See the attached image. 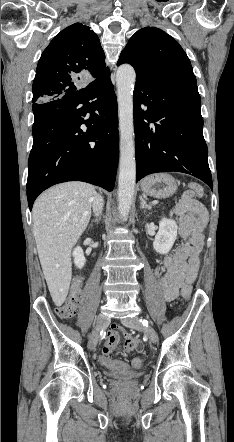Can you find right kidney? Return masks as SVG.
Wrapping results in <instances>:
<instances>
[{
	"label": "right kidney",
	"instance_id": "ca27d5eb",
	"mask_svg": "<svg viewBox=\"0 0 234 442\" xmlns=\"http://www.w3.org/2000/svg\"><path fill=\"white\" fill-rule=\"evenodd\" d=\"M74 263L75 266L81 269L86 262V258L84 257L83 250L80 246H77L73 251Z\"/></svg>",
	"mask_w": 234,
	"mask_h": 442
}]
</instances>
